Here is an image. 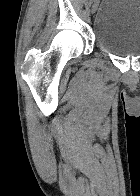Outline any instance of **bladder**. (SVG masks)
I'll return each instance as SVG.
<instances>
[{
	"instance_id": "31cf9c89",
	"label": "bladder",
	"mask_w": 140,
	"mask_h": 196,
	"mask_svg": "<svg viewBox=\"0 0 140 196\" xmlns=\"http://www.w3.org/2000/svg\"><path fill=\"white\" fill-rule=\"evenodd\" d=\"M93 32L106 52L118 57L140 56V0H103Z\"/></svg>"
}]
</instances>
